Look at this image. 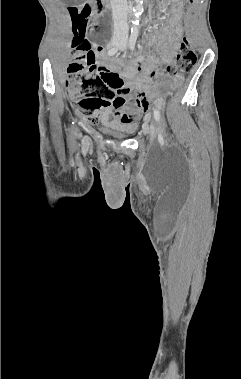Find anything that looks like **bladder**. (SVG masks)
Here are the masks:
<instances>
[{
	"instance_id": "bladder-1",
	"label": "bladder",
	"mask_w": 241,
	"mask_h": 379,
	"mask_svg": "<svg viewBox=\"0 0 241 379\" xmlns=\"http://www.w3.org/2000/svg\"><path fill=\"white\" fill-rule=\"evenodd\" d=\"M104 131L112 137L120 139L126 138L130 134V132L127 129L120 126H116L114 124H109L105 126Z\"/></svg>"
}]
</instances>
